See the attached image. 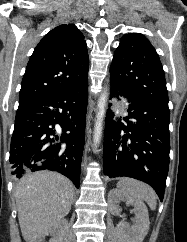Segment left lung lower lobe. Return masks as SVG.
<instances>
[{"instance_id":"left-lung-lower-lobe-1","label":"left lung lower lobe","mask_w":187,"mask_h":242,"mask_svg":"<svg viewBox=\"0 0 187 242\" xmlns=\"http://www.w3.org/2000/svg\"><path fill=\"white\" fill-rule=\"evenodd\" d=\"M130 102L128 115L106 114L104 174L110 178L132 177L149 184L163 200L169 169V108L137 97L111 81V98Z\"/></svg>"}]
</instances>
